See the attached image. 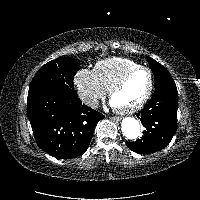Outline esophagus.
I'll return each mask as SVG.
<instances>
[{"mask_svg":"<svg viewBox=\"0 0 200 200\" xmlns=\"http://www.w3.org/2000/svg\"><path fill=\"white\" fill-rule=\"evenodd\" d=\"M111 120L118 122V121L121 120V118L117 117V116H114V117H111Z\"/></svg>","mask_w":200,"mask_h":200,"instance_id":"1","label":"esophagus"}]
</instances>
